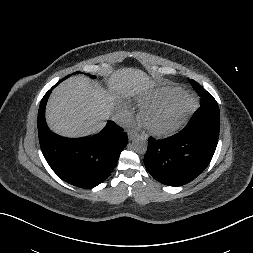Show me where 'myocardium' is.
Wrapping results in <instances>:
<instances>
[{
	"instance_id": "f54148a6",
	"label": "myocardium",
	"mask_w": 253,
	"mask_h": 253,
	"mask_svg": "<svg viewBox=\"0 0 253 253\" xmlns=\"http://www.w3.org/2000/svg\"><path fill=\"white\" fill-rule=\"evenodd\" d=\"M179 105V111L175 121L167 128L157 129L148 124V117L159 110ZM197 107V99L186 91H179L169 98L148 104L140 112V120L146 130L153 136L164 138L176 133L190 118Z\"/></svg>"
}]
</instances>
